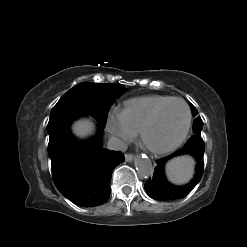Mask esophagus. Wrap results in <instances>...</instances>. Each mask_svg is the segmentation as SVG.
Masks as SVG:
<instances>
[{
  "instance_id": "1",
  "label": "esophagus",
  "mask_w": 247,
  "mask_h": 247,
  "mask_svg": "<svg viewBox=\"0 0 247 247\" xmlns=\"http://www.w3.org/2000/svg\"><path fill=\"white\" fill-rule=\"evenodd\" d=\"M134 156L131 153H126L125 154V159L127 162H131L133 160Z\"/></svg>"
}]
</instances>
